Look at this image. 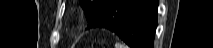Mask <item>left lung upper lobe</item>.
I'll use <instances>...</instances> for the list:
<instances>
[{
    "instance_id": "obj_1",
    "label": "left lung upper lobe",
    "mask_w": 213,
    "mask_h": 48,
    "mask_svg": "<svg viewBox=\"0 0 213 48\" xmlns=\"http://www.w3.org/2000/svg\"><path fill=\"white\" fill-rule=\"evenodd\" d=\"M109 1L110 0H80L82 8L85 10L87 21L91 20Z\"/></svg>"
}]
</instances>
